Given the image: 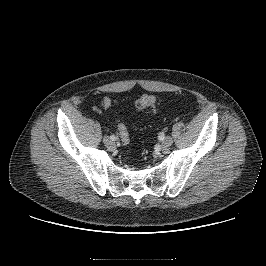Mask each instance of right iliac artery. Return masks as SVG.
I'll use <instances>...</instances> for the list:
<instances>
[{
	"mask_svg": "<svg viewBox=\"0 0 266 266\" xmlns=\"http://www.w3.org/2000/svg\"><path fill=\"white\" fill-rule=\"evenodd\" d=\"M110 138H111L112 140H114V139H115V136H114V135H112V136H110Z\"/></svg>",
	"mask_w": 266,
	"mask_h": 266,
	"instance_id": "82829eb1",
	"label": "right iliac artery"
}]
</instances>
